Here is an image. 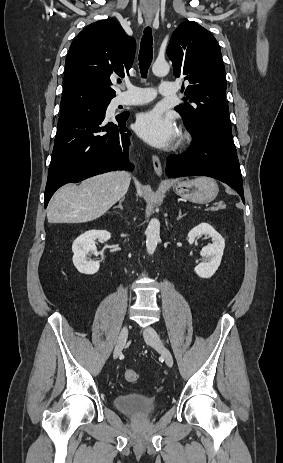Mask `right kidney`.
<instances>
[{
  "instance_id": "1",
  "label": "right kidney",
  "mask_w": 283,
  "mask_h": 463,
  "mask_svg": "<svg viewBox=\"0 0 283 463\" xmlns=\"http://www.w3.org/2000/svg\"><path fill=\"white\" fill-rule=\"evenodd\" d=\"M101 238L108 241L111 234L105 230H90L80 235L72 244L73 264L83 274H95L100 267L99 261L87 260L89 252L98 255L95 240Z\"/></svg>"
}]
</instances>
